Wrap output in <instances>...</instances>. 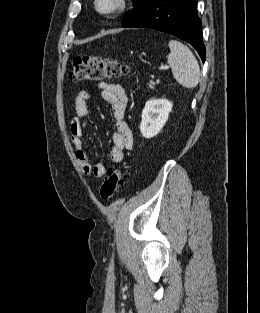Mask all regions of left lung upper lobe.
Listing matches in <instances>:
<instances>
[{"mask_svg": "<svg viewBox=\"0 0 260 313\" xmlns=\"http://www.w3.org/2000/svg\"><path fill=\"white\" fill-rule=\"evenodd\" d=\"M134 7L128 11L123 18V25L134 19L150 2L151 0H133Z\"/></svg>", "mask_w": 260, "mask_h": 313, "instance_id": "obj_1", "label": "left lung upper lobe"}]
</instances>
